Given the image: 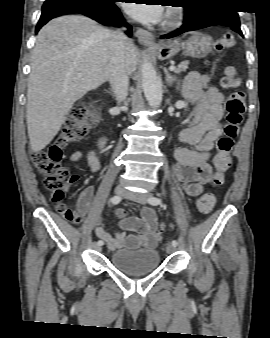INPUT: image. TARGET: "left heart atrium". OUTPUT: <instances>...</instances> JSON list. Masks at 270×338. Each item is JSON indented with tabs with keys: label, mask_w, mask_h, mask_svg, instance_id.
I'll list each match as a JSON object with an SVG mask.
<instances>
[{
	"label": "left heart atrium",
	"mask_w": 270,
	"mask_h": 338,
	"mask_svg": "<svg viewBox=\"0 0 270 338\" xmlns=\"http://www.w3.org/2000/svg\"><path fill=\"white\" fill-rule=\"evenodd\" d=\"M124 9L134 18L147 23H157L163 17V10L161 5H141L138 3H124Z\"/></svg>",
	"instance_id": "39dd6f15"
}]
</instances>
